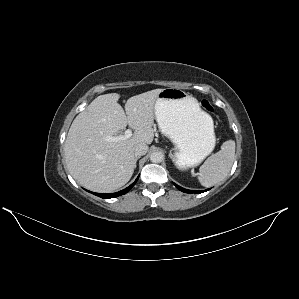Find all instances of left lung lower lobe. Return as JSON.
<instances>
[{
  "label": "left lung lower lobe",
  "mask_w": 299,
  "mask_h": 299,
  "mask_svg": "<svg viewBox=\"0 0 299 299\" xmlns=\"http://www.w3.org/2000/svg\"><path fill=\"white\" fill-rule=\"evenodd\" d=\"M179 190H181L182 192H185V193H202L204 191H200V190H188V189H184L176 184H174ZM206 191V190H205Z\"/></svg>",
  "instance_id": "left-lung-lower-lobe-1"
}]
</instances>
